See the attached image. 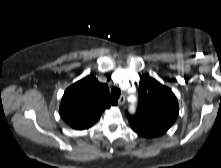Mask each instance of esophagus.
Returning a JSON list of instances; mask_svg holds the SVG:
<instances>
[{"mask_svg":"<svg viewBox=\"0 0 221 168\" xmlns=\"http://www.w3.org/2000/svg\"><path fill=\"white\" fill-rule=\"evenodd\" d=\"M119 105H123L125 103V96L121 95L120 98L118 99Z\"/></svg>","mask_w":221,"mask_h":168,"instance_id":"obj_1","label":"esophagus"}]
</instances>
